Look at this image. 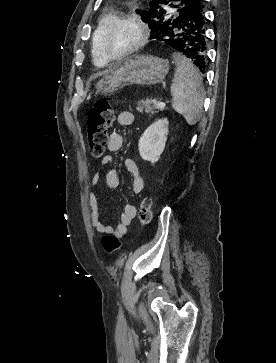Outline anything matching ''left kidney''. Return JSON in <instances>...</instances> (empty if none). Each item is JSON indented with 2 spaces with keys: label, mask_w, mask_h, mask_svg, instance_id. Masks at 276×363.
I'll return each instance as SVG.
<instances>
[{
  "label": "left kidney",
  "mask_w": 276,
  "mask_h": 363,
  "mask_svg": "<svg viewBox=\"0 0 276 363\" xmlns=\"http://www.w3.org/2000/svg\"><path fill=\"white\" fill-rule=\"evenodd\" d=\"M169 122L166 118L151 124L139 139L138 149L143 160L156 163L165 149Z\"/></svg>",
  "instance_id": "5707ae66"
}]
</instances>
